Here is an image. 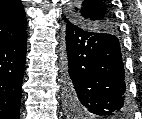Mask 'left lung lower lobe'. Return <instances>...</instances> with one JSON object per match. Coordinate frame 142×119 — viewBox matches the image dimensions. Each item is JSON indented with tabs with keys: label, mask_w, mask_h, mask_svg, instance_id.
Instances as JSON below:
<instances>
[{
	"label": "left lung lower lobe",
	"mask_w": 142,
	"mask_h": 119,
	"mask_svg": "<svg viewBox=\"0 0 142 119\" xmlns=\"http://www.w3.org/2000/svg\"><path fill=\"white\" fill-rule=\"evenodd\" d=\"M64 21L65 96L70 112L125 119L130 111L118 38L113 33L85 29L68 17Z\"/></svg>",
	"instance_id": "obj_1"
}]
</instances>
